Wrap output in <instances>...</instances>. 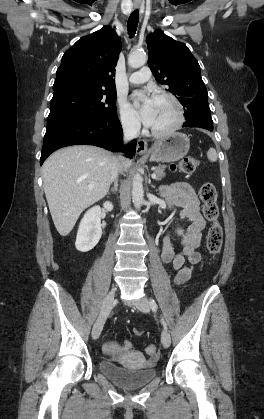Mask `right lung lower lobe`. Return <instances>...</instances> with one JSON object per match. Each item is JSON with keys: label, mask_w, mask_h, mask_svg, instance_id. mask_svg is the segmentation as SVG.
<instances>
[{"label": "right lung lower lobe", "mask_w": 264, "mask_h": 419, "mask_svg": "<svg viewBox=\"0 0 264 419\" xmlns=\"http://www.w3.org/2000/svg\"><path fill=\"white\" fill-rule=\"evenodd\" d=\"M122 127L118 116H76L63 119L46 130L41 151L40 164L55 150L75 145L87 144L110 151H122L132 157L136 151V140L122 145Z\"/></svg>", "instance_id": "right-lung-lower-lobe-1"}]
</instances>
